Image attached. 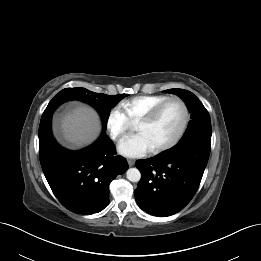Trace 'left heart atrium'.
I'll list each match as a JSON object with an SVG mask.
<instances>
[{
  "label": "left heart atrium",
  "instance_id": "left-heart-atrium-1",
  "mask_svg": "<svg viewBox=\"0 0 261 261\" xmlns=\"http://www.w3.org/2000/svg\"><path fill=\"white\" fill-rule=\"evenodd\" d=\"M151 146L141 133L125 136L118 143V151L126 157H140L151 151Z\"/></svg>",
  "mask_w": 261,
  "mask_h": 261
}]
</instances>
